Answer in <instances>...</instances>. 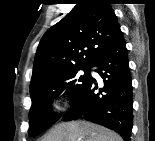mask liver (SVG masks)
<instances>
[{
  "label": "liver",
  "instance_id": "1",
  "mask_svg": "<svg viewBox=\"0 0 155 141\" xmlns=\"http://www.w3.org/2000/svg\"><path fill=\"white\" fill-rule=\"evenodd\" d=\"M42 141H122V138L92 122L70 121L55 125Z\"/></svg>",
  "mask_w": 155,
  "mask_h": 141
}]
</instances>
